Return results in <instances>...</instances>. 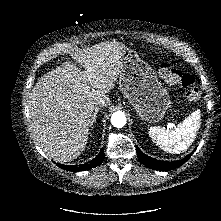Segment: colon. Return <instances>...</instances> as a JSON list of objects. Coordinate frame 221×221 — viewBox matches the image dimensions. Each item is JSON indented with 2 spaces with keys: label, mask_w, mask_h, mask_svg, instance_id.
<instances>
[{
  "label": "colon",
  "mask_w": 221,
  "mask_h": 221,
  "mask_svg": "<svg viewBox=\"0 0 221 221\" xmlns=\"http://www.w3.org/2000/svg\"><path fill=\"white\" fill-rule=\"evenodd\" d=\"M158 73L166 82L184 87L188 101L198 102L200 100L201 92L193 75L179 71L170 63H162L158 68Z\"/></svg>",
  "instance_id": "5ec220e1"
}]
</instances>
